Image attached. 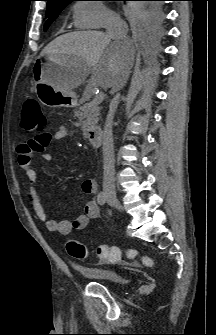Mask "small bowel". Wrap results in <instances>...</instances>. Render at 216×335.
<instances>
[{"instance_id":"c3829d8e","label":"small bowel","mask_w":216,"mask_h":335,"mask_svg":"<svg viewBox=\"0 0 216 335\" xmlns=\"http://www.w3.org/2000/svg\"><path fill=\"white\" fill-rule=\"evenodd\" d=\"M69 136L68 129L60 125L53 134H49L46 144L51 142L65 141ZM33 149L29 144H22L18 147V161L24 170L27 178V199L33 208L37 218L44 222L47 229L61 235H68L72 230H83L87 227L90 220L98 219L100 208L95 198L90 199L84 206V213L79 214L73 220H54L51 219L42 205L37 187L40 182V174L31 167ZM42 158L46 162L52 160L51 154L42 153ZM81 189L84 193L94 194L96 192V182L92 178H87L82 182ZM101 262L103 259L99 258Z\"/></svg>"}]
</instances>
